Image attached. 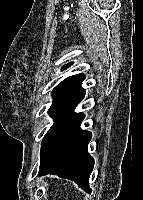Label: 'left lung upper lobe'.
Returning <instances> with one entry per match:
<instances>
[{
	"instance_id": "left-lung-upper-lobe-1",
	"label": "left lung upper lobe",
	"mask_w": 143,
	"mask_h": 200,
	"mask_svg": "<svg viewBox=\"0 0 143 200\" xmlns=\"http://www.w3.org/2000/svg\"><path fill=\"white\" fill-rule=\"evenodd\" d=\"M71 64H67L63 67V69H66L70 66ZM77 75L70 76L66 79H64L62 82H60L52 91L53 97L58 95L60 92H62L66 87H68L73 81L76 79Z\"/></svg>"
}]
</instances>
